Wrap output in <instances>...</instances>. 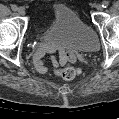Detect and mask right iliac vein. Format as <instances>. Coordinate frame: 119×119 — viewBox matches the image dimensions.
I'll use <instances>...</instances> for the list:
<instances>
[{
  "label": "right iliac vein",
  "instance_id": "63e3f726",
  "mask_svg": "<svg viewBox=\"0 0 119 119\" xmlns=\"http://www.w3.org/2000/svg\"><path fill=\"white\" fill-rule=\"evenodd\" d=\"M17 11H18L19 15H21V16H24V15H25V11H24L23 8L19 7V8L17 9Z\"/></svg>",
  "mask_w": 119,
  "mask_h": 119
}]
</instances>
